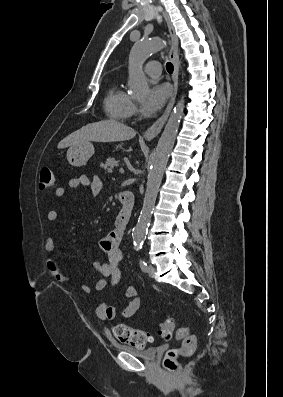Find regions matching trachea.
I'll return each mask as SVG.
<instances>
[{"label":"trachea","instance_id":"obj_1","mask_svg":"<svg viewBox=\"0 0 283 397\" xmlns=\"http://www.w3.org/2000/svg\"><path fill=\"white\" fill-rule=\"evenodd\" d=\"M166 70H167L168 73L172 74L173 73V64L168 62L166 64Z\"/></svg>","mask_w":283,"mask_h":397}]
</instances>
